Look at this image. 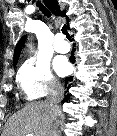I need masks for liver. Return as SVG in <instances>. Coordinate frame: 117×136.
Instances as JSON below:
<instances>
[{
  "label": "liver",
  "mask_w": 117,
  "mask_h": 136,
  "mask_svg": "<svg viewBox=\"0 0 117 136\" xmlns=\"http://www.w3.org/2000/svg\"><path fill=\"white\" fill-rule=\"evenodd\" d=\"M61 114L57 104L47 101L27 103L23 109L12 115L3 131V136H46L48 126Z\"/></svg>",
  "instance_id": "6515ba94"
}]
</instances>
